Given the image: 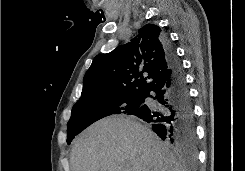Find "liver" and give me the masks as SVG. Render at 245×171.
<instances>
[{
  "instance_id": "6515ba94",
  "label": "liver",
  "mask_w": 245,
  "mask_h": 171,
  "mask_svg": "<svg viewBox=\"0 0 245 171\" xmlns=\"http://www.w3.org/2000/svg\"><path fill=\"white\" fill-rule=\"evenodd\" d=\"M72 171H186L160 139L133 117L99 120L75 140Z\"/></svg>"
}]
</instances>
